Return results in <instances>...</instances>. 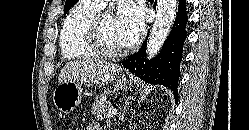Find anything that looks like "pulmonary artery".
Instances as JSON below:
<instances>
[{
    "label": "pulmonary artery",
    "instance_id": "1",
    "mask_svg": "<svg viewBox=\"0 0 249 130\" xmlns=\"http://www.w3.org/2000/svg\"><path fill=\"white\" fill-rule=\"evenodd\" d=\"M90 1H92L94 4L102 8L105 6L106 2L109 0H90Z\"/></svg>",
    "mask_w": 249,
    "mask_h": 130
}]
</instances>
